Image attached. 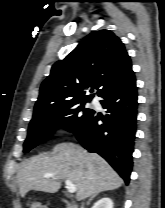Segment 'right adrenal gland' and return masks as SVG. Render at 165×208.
<instances>
[{
	"mask_svg": "<svg viewBox=\"0 0 165 208\" xmlns=\"http://www.w3.org/2000/svg\"><path fill=\"white\" fill-rule=\"evenodd\" d=\"M98 194H99V193L94 194V195L88 200L87 205H89L90 202H91Z\"/></svg>",
	"mask_w": 165,
	"mask_h": 208,
	"instance_id": "obj_1",
	"label": "right adrenal gland"
}]
</instances>
